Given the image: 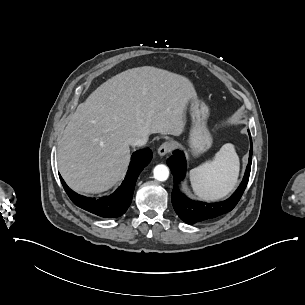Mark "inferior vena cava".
Masks as SVG:
<instances>
[{"label":"inferior vena cava","mask_w":305,"mask_h":305,"mask_svg":"<svg viewBox=\"0 0 305 305\" xmlns=\"http://www.w3.org/2000/svg\"><path fill=\"white\" fill-rule=\"evenodd\" d=\"M149 135L150 134H143V135L132 137V138H130V143L135 146L146 145L148 142Z\"/></svg>","instance_id":"obj_1"}]
</instances>
